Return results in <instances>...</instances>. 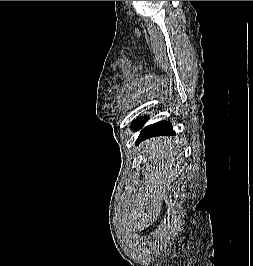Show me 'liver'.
<instances>
[{
	"label": "liver",
	"instance_id": "obj_1",
	"mask_svg": "<svg viewBox=\"0 0 253 266\" xmlns=\"http://www.w3.org/2000/svg\"><path fill=\"white\" fill-rule=\"evenodd\" d=\"M144 145L146 162H150L144 175L149 182L144 189L140 186L138 193L124 203L123 224L127 230L141 231L157 220L166 186L176 175L181 157V150L171 137L150 139Z\"/></svg>",
	"mask_w": 253,
	"mask_h": 266
}]
</instances>
